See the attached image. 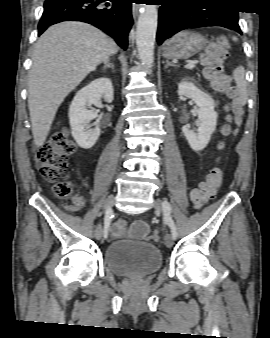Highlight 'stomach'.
Wrapping results in <instances>:
<instances>
[{"mask_svg": "<svg viewBox=\"0 0 270 338\" xmlns=\"http://www.w3.org/2000/svg\"><path fill=\"white\" fill-rule=\"evenodd\" d=\"M206 39L199 33L181 31L167 40L162 47L166 59H188L206 46Z\"/></svg>", "mask_w": 270, "mask_h": 338, "instance_id": "0dacf381", "label": "stomach"}]
</instances>
